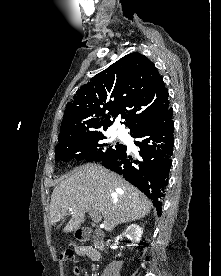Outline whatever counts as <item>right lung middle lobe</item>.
I'll return each instance as SVG.
<instances>
[{
  "label": "right lung middle lobe",
  "mask_w": 221,
  "mask_h": 276,
  "mask_svg": "<svg viewBox=\"0 0 221 276\" xmlns=\"http://www.w3.org/2000/svg\"><path fill=\"white\" fill-rule=\"evenodd\" d=\"M105 139L102 132H95L59 142L55 149V160L66 161L75 158L104 163L122 153L126 148L119 143L116 145L106 143Z\"/></svg>",
  "instance_id": "1"
}]
</instances>
